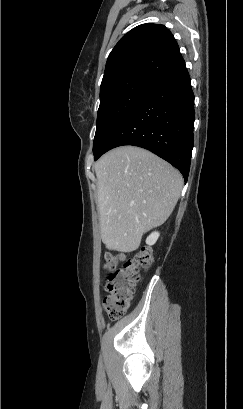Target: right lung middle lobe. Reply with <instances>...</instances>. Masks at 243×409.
<instances>
[{
    "label": "right lung middle lobe",
    "instance_id": "dd1d6c3e",
    "mask_svg": "<svg viewBox=\"0 0 243 409\" xmlns=\"http://www.w3.org/2000/svg\"><path fill=\"white\" fill-rule=\"evenodd\" d=\"M159 82L148 76H136L110 85L100 96L97 128L93 144L97 155L116 128L137 107L143 98Z\"/></svg>",
    "mask_w": 243,
    "mask_h": 409
}]
</instances>
